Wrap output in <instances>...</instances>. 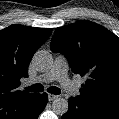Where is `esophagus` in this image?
Masks as SVG:
<instances>
[{"instance_id": "obj_1", "label": "esophagus", "mask_w": 119, "mask_h": 119, "mask_svg": "<svg viewBox=\"0 0 119 119\" xmlns=\"http://www.w3.org/2000/svg\"><path fill=\"white\" fill-rule=\"evenodd\" d=\"M58 98V95H54V94H48V100L49 101H53L54 99Z\"/></svg>"}]
</instances>
